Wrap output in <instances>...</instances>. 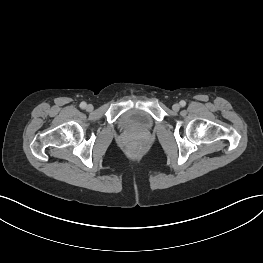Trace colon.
I'll use <instances>...</instances> for the list:
<instances>
[{
	"instance_id": "obj_1",
	"label": "colon",
	"mask_w": 263,
	"mask_h": 263,
	"mask_svg": "<svg viewBox=\"0 0 263 263\" xmlns=\"http://www.w3.org/2000/svg\"><path fill=\"white\" fill-rule=\"evenodd\" d=\"M126 151L132 157H138L141 154L142 148L138 142L130 141L126 144Z\"/></svg>"
}]
</instances>
